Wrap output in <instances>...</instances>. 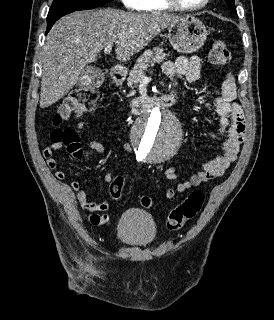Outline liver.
Listing matches in <instances>:
<instances>
[{
	"label": "liver",
	"mask_w": 274,
	"mask_h": 320,
	"mask_svg": "<svg viewBox=\"0 0 274 320\" xmlns=\"http://www.w3.org/2000/svg\"><path fill=\"white\" fill-rule=\"evenodd\" d=\"M179 18L182 16L111 8L64 16L54 24L43 46L40 108H48L68 94L103 48L116 44V60L127 62Z\"/></svg>",
	"instance_id": "obj_1"
}]
</instances>
